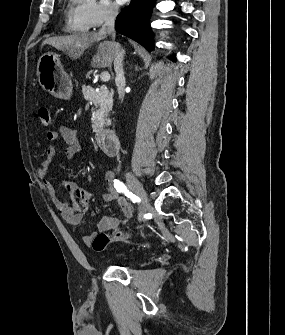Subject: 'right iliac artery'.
I'll return each mask as SVG.
<instances>
[{
	"label": "right iliac artery",
	"mask_w": 285,
	"mask_h": 335,
	"mask_svg": "<svg viewBox=\"0 0 285 335\" xmlns=\"http://www.w3.org/2000/svg\"><path fill=\"white\" fill-rule=\"evenodd\" d=\"M114 187L117 190V192L123 193L125 196L131 199L133 203L137 201V196L134 195L132 192H130L127 187L120 182L119 180H114Z\"/></svg>",
	"instance_id": "obj_1"
}]
</instances>
